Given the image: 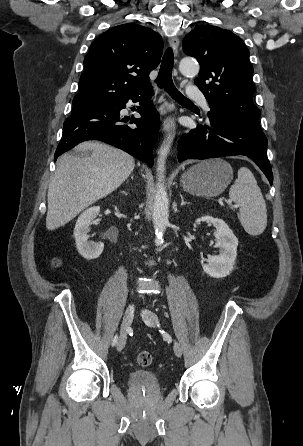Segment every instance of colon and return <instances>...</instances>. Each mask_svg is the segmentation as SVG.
Instances as JSON below:
<instances>
[{"mask_svg":"<svg viewBox=\"0 0 303 446\" xmlns=\"http://www.w3.org/2000/svg\"><path fill=\"white\" fill-rule=\"evenodd\" d=\"M58 264V260L55 261ZM136 361L140 366H149L152 362V356L148 351H139L136 355Z\"/></svg>","mask_w":303,"mask_h":446,"instance_id":"colon-1","label":"colon"}]
</instances>
